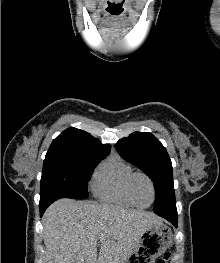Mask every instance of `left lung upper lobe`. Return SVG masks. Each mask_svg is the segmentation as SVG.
Wrapping results in <instances>:
<instances>
[{"label":"left lung upper lobe","mask_w":220,"mask_h":263,"mask_svg":"<svg viewBox=\"0 0 220 263\" xmlns=\"http://www.w3.org/2000/svg\"><path fill=\"white\" fill-rule=\"evenodd\" d=\"M121 157L140 168L154 182V212L176 210L172 163L165 147L149 132H134L115 145Z\"/></svg>","instance_id":"1"}]
</instances>
